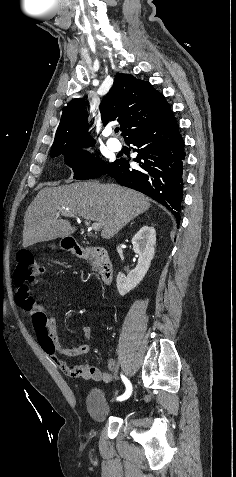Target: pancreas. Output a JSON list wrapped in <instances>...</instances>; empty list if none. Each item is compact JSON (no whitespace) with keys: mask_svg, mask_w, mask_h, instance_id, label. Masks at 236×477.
Wrapping results in <instances>:
<instances>
[{"mask_svg":"<svg viewBox=\"0 0 236 477\" xmlns=\"http://www.w3.org/2000/svg\"><path fill=\"white\" fill-rule=\"evenodd\" d=\"M92 266H93V270L97 271L99 269V260H98V257L97 256H94L93 259H89Z\"/></svg>","mask_w":236,"mask_h":477,"instance_id":"obj_1","label":"pancreas"}]
</instances>
